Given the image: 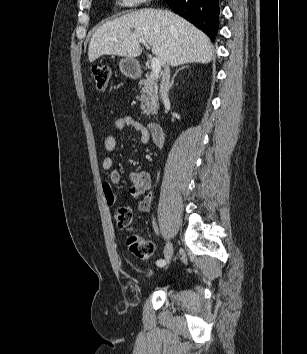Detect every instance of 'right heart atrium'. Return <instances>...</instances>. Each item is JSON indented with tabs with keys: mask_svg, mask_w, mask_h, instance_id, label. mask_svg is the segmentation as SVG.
<instances>
[{
	"mask_svg": "<svg viewBox=\"0 0 307 354\" xmlns=\"http://www.w3.org/2000/svg\"><path fill=\"white\" fill-rule=\"evenodd\" d=\"M150 0H119L124 7H135L147 3Z\"/></svg>",
	"mask_w": 307,
	"mask_h": 354,
	"instance_id": "d8ad5b80",
	"label": "right heart atrium"
}]
</instances>
